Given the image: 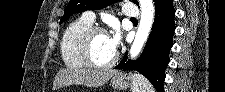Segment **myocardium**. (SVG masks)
Returning <instances> with one entry per match:
<instances>
[{
  "mask_svg": "<svg viewBox=\"0 0 225 92\" xmlns=\"http://www.w3.org/2000/svg\"><path fill=\"white\" fill-rule=\"evenodd\" d=\"M105 32L107 33V30L99 25H91L88 29H86L81 36L79 37L78 40V52L83 60V62L86 64V66L93 68V69H108L111 68L116 64L118 61V53L115 52L114 57L107 63L105 64H99L94 61V59L91 56V43L93 40V37L97 33Z\"/></svg>",
  "mask_w": 225,
  "mask_h": 92,
  "instance_id": "obj_1",
  "label": "myocardium"
}]
</instances>
